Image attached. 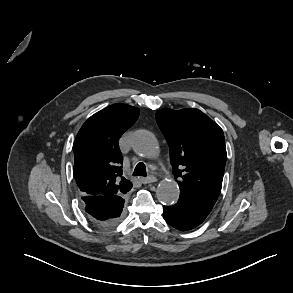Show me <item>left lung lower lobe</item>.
<instances>
[{"label": "left lung lower lobe", "instance_id": "1", "mask_svg": "<svg viewBox=\"0 0 293 293\" xmlns=\"http://www.w3.org/2000/svg\"><path fill=\"white\" fill-rule=\"evenodd\" d=\"M209 212L196 205L179 199L172 206H164L165 221L180 231H187L200 225Z\"/></svg>", "mask_w": 293, "mask_h": 293}]
</instances>
